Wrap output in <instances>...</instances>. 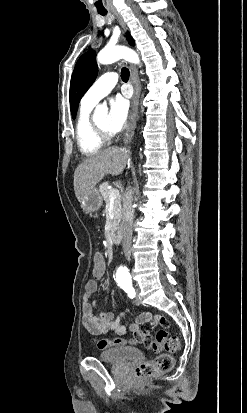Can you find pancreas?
I'll list each match as a JSON object with an SVG mask.
<instances>
[{
    "label": "pancreas",
    "mask_w": 247,
    "mask_h": 413,
    "mask_svg": "<svg viewBox=\"0 0 247 413\" xmlns=\"http://www.w3.org/2000/svg\"><path fill=\"white\" fill-rule=\"evenodd\" d=\"M109 186V182H102V184H99V190L105 200V202H109L110 196H109V190L110 188H107ZM121 198L122 196H117L113 202V207H114V221H113V227H117L118 223H120L121 219Z\"/></svg>",
    "instance_id": "cf45deb5"
}]
</instances>
